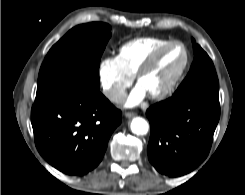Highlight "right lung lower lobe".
Wrapping results in <instances>:
<instances>
[{
  "mask_svg": "<svg viewBox=\"0 0 245 195\" xmlns=\"http://www.w3.org/2000/svg\"><path fill=\"white\" fill-rule=\"evenodd\" d=\"M121 120V111L99 90L35 102L31 110L37 150L53 167L73 176L87 174L101 162Z\"/></svg>",
  "mask_w": 245,
  "mask_h": 195,
  "instance_id": "right-lung-lower-lobe-1",
  "label": "right lung lower lobe"
}]
</instances>
